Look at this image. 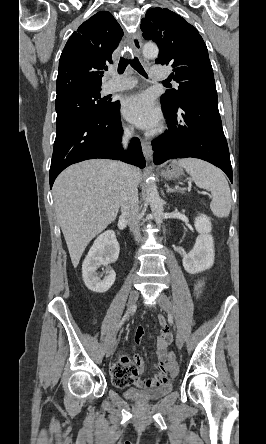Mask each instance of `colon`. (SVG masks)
<instances>
[{
	"mask_svg": "<svg viewBox=\"0 0 266 444\" xmlns=\"http://www.w3.org/2000/svg\"><path fill=\"white\" fill-rule=\"evenodd\" d=\"M167 359H168V365L170 367V370L172 372H175L176 368H177V358H176V355L173 352H170L168 354V356H167Z\"/></svg>",
	"mask_w": 266,
	"mask_h": 444,
	"instance_id": "colon-1",
	"label": "colon"
}]
</instances>
